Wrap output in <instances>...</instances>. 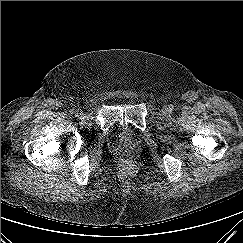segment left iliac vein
Wrapping results in <instances>:
<instances>
[{"mask_svg":"<svg viewBox=\"0 0 243 243\" xmlns=\"http://www.w3.org/2000/svg\"><path fill=\"white\" fill-rule=\"evenodd\" d=\"M162 113H163L164 115L169 114V113H170L169 108H168L167 106H163V108H162Z\"/></svg>","mask_w":243,"mask_h":243,"instance_id":"1","label":"left iliac vein"}]
</instances>
